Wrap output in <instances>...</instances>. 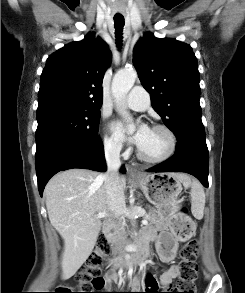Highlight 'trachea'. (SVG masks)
Instances as JSON below:
<instances>
[{
    "mask_svg": "<svg viewBox=\"0 0 245 293\" xmlns=\"http://www.w3.org/2000/svg\"><path fill=\"white\" fill-rule=\"evenodd\" d=\"M114 25H115V35L117 39L118 47L121 45L122 39V30L124 26V18H114Z\"/></svg>",
    "mask_w": 245,
    "mask_h": 293,
    "instance_id": "trachea-1",
    "label": "trachea"
}]
</instances>
